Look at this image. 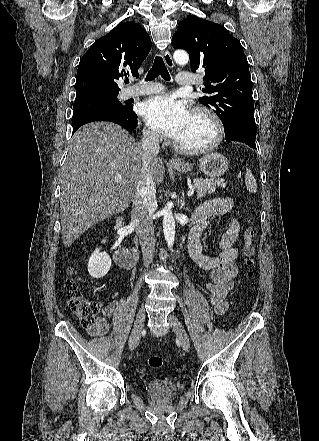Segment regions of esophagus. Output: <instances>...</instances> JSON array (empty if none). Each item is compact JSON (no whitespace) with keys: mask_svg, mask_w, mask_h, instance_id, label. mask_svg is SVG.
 <instances>
[{"mask_svg":"<svg viewBox=\"0 0 319 441\" xmlns=\"http://www.w3.org/2000/svg\"><path fill=\"white\" fill-rule=\"evenodd\" d=\"M163 59H164V62H165L167 67H169V68H173L174 67V61H173V59L171 57V54H170V52L168 50L164 51ZM169 164L170 165H181L182 162L179 159H176V158L172 157V158L169 159Z\"/></svg>","mask_w":319,"mask_h":441,"instance_id":"esophagus-1","label":"esophagus"}]
</instances>
